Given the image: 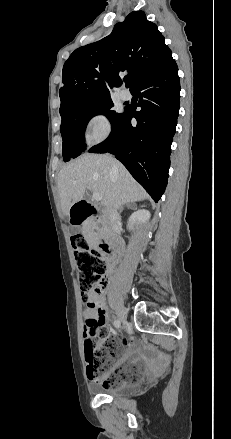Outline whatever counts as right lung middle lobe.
I'll return each instance as SVG.
<instances>
[{"label": "right lung middle lobe", "instance_id": "dd1d6c3e", "mask_svg": "<svg viewBox=\"0 0 231 439\" xmlns=\"http://www.w3.org/2000/svg\"><path fill=\"white\" fill-rule=\"evenodd\" d=\"M111 97L85 101L61 112L62 122L60 131L63 139V159L65 162L75 158L85 150L84 133L89 120L99 114H104L110 120L112 127L122 116L113 110Z\"/></svg>", "mask_w": 231, "mask_h": 439}]
</instances>
